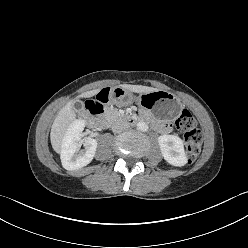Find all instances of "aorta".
I'll list each match as a JSON object with an SVG mask.
<instances>
[{
  "instance_id": "obj_1",
  "label": "aorta",
  "mask_w": 248,
  "mask_h": 248,
  "mask_svg": "<svg viewBox=\"0 0 248 248\" xmlns=\"http://www.w3.org/2000/svg\"><path fill=\"white\" fill-rule=\"evenodd\" d=\"M137 128H138V130L145 132L148 130V125H147V123L140 121L137 123Z\"/></svg>"
}]
</instances>
